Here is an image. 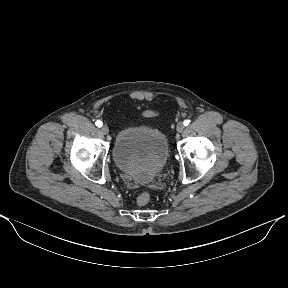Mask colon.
<instances>
[{
  "mask_svg": "<svg viewBox=\"0 0 288 288\" xmlns=\"http://www.w3.org/2000/svg\"><path fill=\"white\" fill-rule=\"evenodd\" d=\"M142 115L145 116V117H153V116L157 115V112L156 111L147 110V111H144L142 113ZM149 202H150V195L148 193H146V192L141 193L137 197V203L140 206L147 205Z\"/></svg>",
  "mask_w": 288,
  "mask_h": 288,
  "instance_id": "obj_1",
  "label": "colon"
}]
</instances>
